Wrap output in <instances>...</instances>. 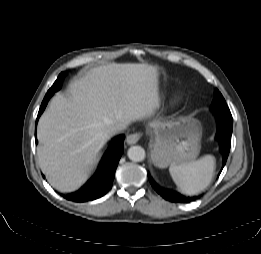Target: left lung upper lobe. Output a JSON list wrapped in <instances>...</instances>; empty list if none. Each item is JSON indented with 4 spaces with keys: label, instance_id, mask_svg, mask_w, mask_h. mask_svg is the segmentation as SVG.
Listing matches in <instances>:
<instances>
[{
    "label": "left lung upper lobe",
    "instance_id": "5c2ea615",
    "mask_svg": "<svg viewBox=\"0 0 261 254\" xmlns=\"http://www.w3.org/2000/svg\"><path fill=\"white\" fill-rule=\"evenodd\" d=\"M211 110L215 115L225 116V117H232L230 110L223 98L222 94L216 90L214 101L211 105Z\"/></svg>",
    "mask_w": 261,
    "mask_h": 254
}]
</instances>
